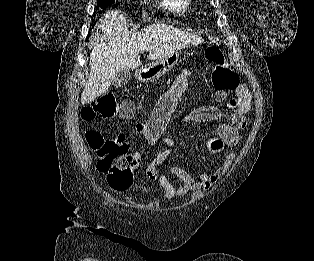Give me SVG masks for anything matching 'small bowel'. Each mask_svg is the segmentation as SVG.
<instances>
[{
    "mask_svg": "<svg viewBox=\"0 0 314 261\" xmlns=\"http://www.w3.org/2000/svg\"><path fill=\"white\" fill-rule=\"evenodd\" d=\"M189 70L180 73L169 89L161 96L150 117L145 122L136 125V132L149 144H155L161 138L166 148L161 151L146 167V174L150 182L144 186L151 187L158 184L164 197L171 199L175 196H185L190 192L208 191L217 183L230 169L234 154L229 152L225 155L221 165L210 173H203L197 178L192 177L187 171L180 167L172 166L169 173L181 180L179 186H174L165 173L160 172V166L173 152V139L164 134L165 127L170 116L175 111L179 99L188 87ZM251 106V99L248 90L239 86L235 91V97L225 105V108L201 107L189 114L192 122H212L225 119L218 123L215 128V135L208 138L205 148L213 154H222L226 149L235 147L239 142V131L246 126L245 115ZM179 122H184V117H179ZM123 138V136H119ZM125 140V139H124ZM137 164L140 157L135 154Z\"/></svg>",
    "mask_w": 314,
    "mask_h": 261,
    "instance_id": "c3829d8e",
    "label": "small bowel"
}]
</instances>
